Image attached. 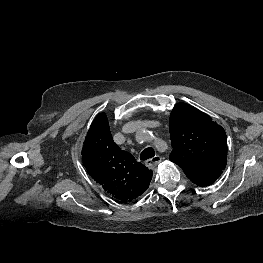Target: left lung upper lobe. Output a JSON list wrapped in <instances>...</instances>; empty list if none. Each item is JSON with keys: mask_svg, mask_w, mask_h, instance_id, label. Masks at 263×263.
<instances>
[{"mask_svg": "<svg viewBox=\"0 0 263 263\" xmlns=\"http://www.w3.org/2000/svg\"><path fill=\"white\" fill-rule=\"evenodd\" d=\"M170 160L184 173L221 175L227 162L224 129L197 108L180 103L170 115Z\"/></svg>", "mask_w": 263, "mask_h": 263, "instance_id": "obj_1", "label": "left lung upper lobe"}]
</instances>
